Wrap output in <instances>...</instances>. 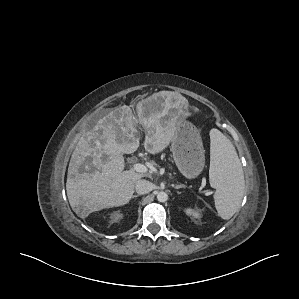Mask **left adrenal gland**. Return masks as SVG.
Returning a JSON list of instances; mask_svg holds the SVG:
<instances>
[{
    "label": "left adrenal gland",
    "mask_w": 299,
    "mask_h": 299,
    "mask_svg": "<svg viewBox=\"0 0 299 299\" xmlns=\"http://www.w3.org/2000/svg\"><path fill=\"white\" fill-rule=\"evenodd\" d=\"M174 188L175 189L185 188V185H182V184L176 185V186H174Z\"/></svg>",
    "instance_id": "a2214340"
}]
</instances>
